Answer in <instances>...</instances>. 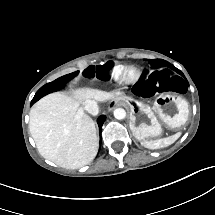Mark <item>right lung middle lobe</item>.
Here are the masks:
<instances>
[{"instance_id":"obj_1","label":"right lung middle lobe","mask_w":215,"mask_h":215,"mask_svg":"<svg viewBox=\"0 0 215 215\" xmlns=\"http://www.w3.org/2000/svg\"><path fill=\"white\" fill-rule=\"evenodd\" d=\"M77 74H78V71L70 73L68 75L62 76V77L54 80L53 82H50V83L42 86L36 92V94H35V96H34V98L32 100V104L35 103V102H37L40 98H42L46 94L61 89L69 80H71L72 78H74L75 76H77Z\"/></svg>"}]
</instances>
